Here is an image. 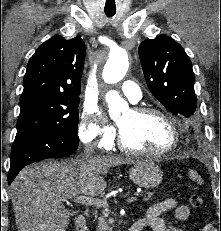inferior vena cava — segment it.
I'll return each instance as SVG.
<instances>
[{
	"label": "inferior vena cava",
	"instance_id": "1",
	"mask_svg": "<svg viewBox=\"0 0 221 231\" xmlns=\"http://www.w3.org/2000/svg\"><path fill=\"white\" fill-rule=\"evenodd\" d=\"M93 151H94L93 146H91V145H90V146H87V147L85 148V150H84L85 158H86V159L89 158V157L92 155Z\"/></svg>",
	"mask_w": 221,
	"mask_h": 231
}]
</instances>
